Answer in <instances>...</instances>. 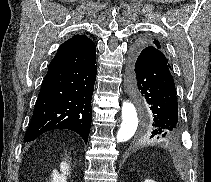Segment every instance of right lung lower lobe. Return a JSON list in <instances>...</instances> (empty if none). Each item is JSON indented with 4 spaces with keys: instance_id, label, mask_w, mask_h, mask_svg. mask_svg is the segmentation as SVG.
<instances>
[{
    "instance_id": "right-lung-lower-lobe-1",
    "label": "right lung lower lobe",
    "mask_w": 211,
    "mask_h": 182,
    "mask_svg": "<svg viewBox=\"0 0 211 182\" xmlns=\"http://www.w3.org/2000/svg\"><path fill=\"white\" fill-rule=\"evenodd\" d=\"M95 50L94 43L82 35L60 46L40 89L26 142L60 128L78 133L87 143L97 73Z\"/></svg>"
}]
</instances>
